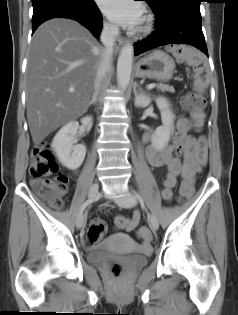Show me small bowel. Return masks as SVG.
<instances>
[{"mask_svg":"<svg viewBox=\"0 0 238 315\" xmlns=\"http://www.w3.org/2000/svg\"><path fill=\"white\" fill-rule=\"evenodd\" d=\"M188 122L185 119L180 120L178 133L173 144L166 145L162 149H157L150 145L145 152L148 163L155 168L164 167L167 175L163 181L162 197L166 201L173 199V190L177 184L178 177H181L183 183L181 189L188 185L193 189L194 178L201 167L206 163L207 148L205 138H192L186 134ZM145 139H149L146 135ZM184 155L185 161L180 164L179 156ZM180 189V190H181ZM64 191L61 193L63 194ZM141 220V213L135 210L132 217L128 219L125 229L131 231L137 227ZM143 251L151 249L150 240L143 239L141 245Z\"/></svg>","mask_w":238,"mask_h":315,"instance_id":"c3829d8e","label":"small bowel"}]
</instances>
